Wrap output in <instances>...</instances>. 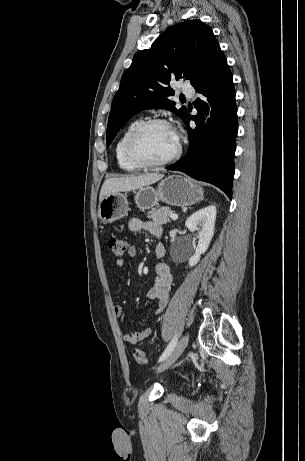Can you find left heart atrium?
Wrapping results in <instances>:
<instances>
[{
  "mask_svg": "<svg viewBox=\"0 0 305 461\" xmlns=\"http://www.w3.org/2000/svg\"><path fill=\"white\" fill-rule=\"evenodd\" d=\"M172 131H173V134H174V137H175L176 141H178V134L174 130H172Z\"/></svg>",
  "mask_w": 305,
  "mask_h": 461,
  "instance_id": "left-heart-atrium-1",
  "label": "left heart atrium"
}]
</instances>
